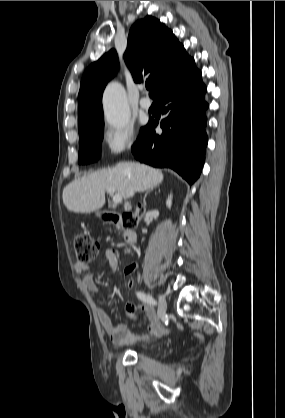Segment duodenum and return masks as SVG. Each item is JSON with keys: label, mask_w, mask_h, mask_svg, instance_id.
<instances>
[{"label": "duodenum", "mask_w": 285, "mask_h": 418, "mask_svg": "<svg viewBox=\"0 0 285 418\" xmlns=\"http://www.w3.org/2000/svg\"><path fill=\"white\" fill-rule=\"evenodd\" d=\"M99 214L101 215L102 219L112 223L114 225H116L118 228L121 227V220L122 217L117 214L114 211H102L99 212ZM123 238L125 240L126 243V248H125V252L129 253L131 246L135 243L136 241V233L132 230L129 229H123Z\"/></svg>", "instance_id": "1"}]
</instances>
